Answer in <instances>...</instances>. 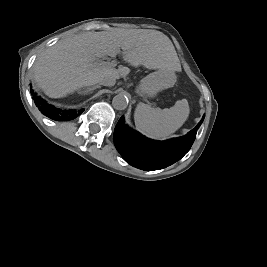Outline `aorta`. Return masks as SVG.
Returning a JSON list of instances; mask_svg holds the SVG:
<instances>
[{
  "label": "aorta",
  "mask_w": 267,
  "mask_h": 267,
  "mask_svg": "<svg viewBox=\"0 0 267 267\" xmlns=\"http://www.w3.org/2000/svg\"><path fill=\"white\" fill-rule=\"evenodd\" d=\"M112 105L116 110H124L128 106V98L125 94L119 93L114 96L112 100Z\"/></svg>",
  "instance_id": "1"
}]
</instances>
